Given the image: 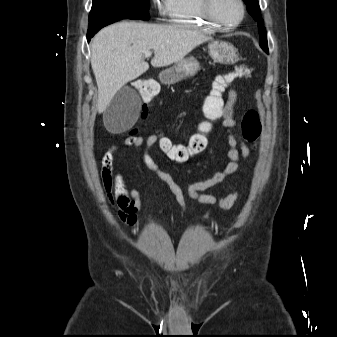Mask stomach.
Wrapping results in <instances>:
<instances>
[{
	"label": "stomach",
	"instance_id": "stomach-1",
	"mask_svg": "<svg viewBox=\"0 0 337 337\" xmlns=\"http://www.w3.org/2000/svg\"><path fill=\"white\" fill-rule=\"evenodd\" d=\"M208 52L211 58L221 63H235L238 60L236 48L224 41H212L208 45ZM200 69L198 60L189 56L177 62L174 66L163 70L160 81L166 84H173L182 79L194 76Z\"/></svg>",
	"mask_w": 337,
	"mask_h": 337
}]
</instances>
